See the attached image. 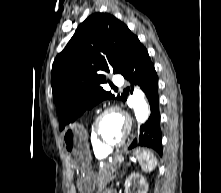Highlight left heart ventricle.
I'll list each match as a JSON object with an SVG mask.
<instances>
[{
  "label": "left heart ventricle",
  "instance_id": "b2bd125f",
  "mask_svg": "<svg viewBox=\"0 0 221 193\" xmlns=\"http://www.w3.org/2000/svg\"><path fill=\"white\" fill-rule=\"evenodd\" d=\"M126 130V121L117 112L107 113L100 121L99 132L101 137L109 142H118Z\"/></svg>",
  "mask_w": 221,
  "mask_h": 193
}]
</instances>
